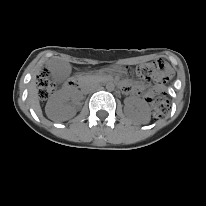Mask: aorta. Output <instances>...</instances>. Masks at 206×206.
I'll use <instances>...</instances> for the list:
<instances>
[{
    "label": "aorta",
    "mask_w": 206,
    "mask_h": 206,
    "mask_svg": "<svg viewBox=\"0 0 206 206\" xmlns=\"http://www.w3.org/2000/svg\"><path fill=\"white\" fill-rule=\"evenodd\" d=\"M114 88H115V85H114L113 82H108V83L106 84V89H107L108 91H113Z\"/></svg>",
    "instance_id": "1"
}]
</instances>
